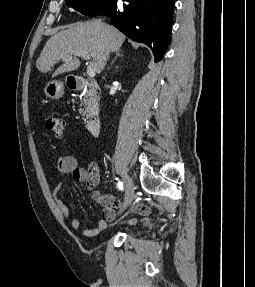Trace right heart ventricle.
<instances>
[{
  "instance_id": "right-heart-ventricle-1",
  "label": "right heart ventricle",
  "mask_w": 255,
  "mask_h": 287,
  "mask_svg": "<svg viewBox=\"0 0 255 287\" xmlns=\"http://www.w3.org/2000/svg\"><path fill=\"white\" fill-rule=\"evenodd\" d=\"M124 48H136V47H124Z\"/></svg>"
}]
</instances>
